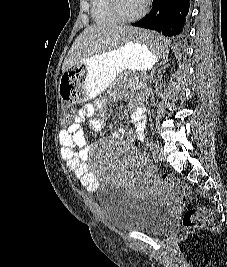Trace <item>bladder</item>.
<instances>
[{
	"label": "bladder",
	"mask_w": 227,
	"mask_h": 267,
	"mask_svg": "<svg viewBox=\"0 0 227 267\" xmlns=\"http://www.w3.org/2000/svg\"><path fill=\"white\" fill-rule=\"evenodd\" d=\"M99 204L110 226L126 231L161 233L171 214L155 196H135L115 185H106Z\"/></svg>",
	"instance_id": "bladder-1"
}]
</instances>
